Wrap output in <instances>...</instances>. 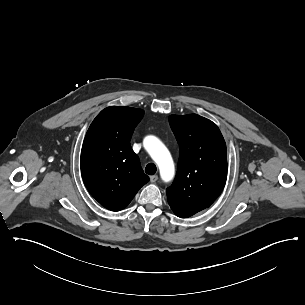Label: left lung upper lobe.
<instances>
[{
  "label": "left lung upper lobe",
  "mask_w": 305,
  "mask_h": 305,
  "mask_svg": "<svg viewBox=\"0 0 305 305\" xmlns=\"http://www.w3.org/2000/svg\"><path fill=\"white\" fill-rule=\"evenodd\" d=\"M169 123L179 144L173 184L166 190L173 212L185 217L208 208L227 179V150L215 123L199 116L171 115Z\"/></svg>",
  "instance_id": "obj_1"
}]
</instances>
